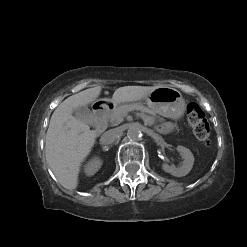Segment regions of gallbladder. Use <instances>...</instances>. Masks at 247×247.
I'll list each match as a JSON object with an SVG mask.
<instances>
[{
    "label": "gallbladder",
    "mask_w": 247,
    "mask_h": 247,
    "mask_svg": "<svg viewBox=\"0 0 247 247\" xmlns=\"http://www.w3.org/2000/svg\"><path fill=\"white\" fill-rule=\"evenodd\" d=\"M72 114L76 119H78V120H80L86 124L92 125L94 122L92 112L90 111L89 108H87L85 106H80V107L75 108L73 110Z\"/></svg>",
    "instance_id": "gallbladder-1"
}]
</instances>
